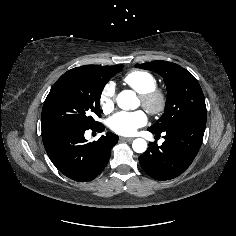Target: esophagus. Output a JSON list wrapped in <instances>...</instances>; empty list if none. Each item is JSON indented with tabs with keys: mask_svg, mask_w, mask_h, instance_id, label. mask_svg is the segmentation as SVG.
<instances>
[{
	"mask_svg": "<svg viewBox=\"0 0 236 236\" xmlns=\"http://www.w3.org/2000/svg\"><path fill=\"white\" fill-rule=\"evenodd\" d=\"M120 139L123 140V141L131 142V141H133L134 138H132V137H129V138L121 137Z\"/></svg>",
	"mask_w": 236,
	"mask_h": 236,
	"instance_id": "obj_1",
	"label": "esophagus"
}]
</instances>
